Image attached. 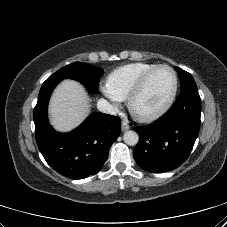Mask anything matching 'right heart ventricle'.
Segmentation results:
<instances>
[{
    "label": "right heart ventricle",
    "mask_w": 227,
    "mask_h": 227,
    "mask_svg": "<svg viewBox=\"0 0 227 227\" xmlns=\"http://www.w3.org/2000/svg\"><path fill=\"white\" fill-rule=\"evenodd\" d=\"M158 64L135 62L120 66L107 77V87L121 101L126 100L138 80Z\"/></svg>",
    "instance_id": "e07e8e85"
}]
</instances>
